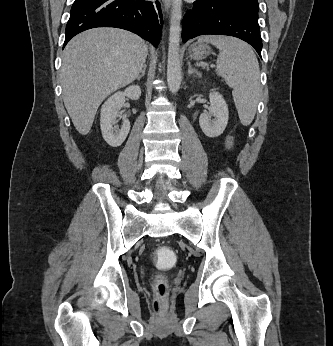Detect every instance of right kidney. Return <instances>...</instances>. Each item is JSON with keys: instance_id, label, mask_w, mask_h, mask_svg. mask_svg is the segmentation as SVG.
Returning <instances> with one entry per match:
<instances>
[{"instance_id": "ca27d5eb", "label": "right kidney", "mask_w": 333, "mask_h": 346, "mask_svg": "<svg viewBox=\"0 0 333 346\" xmlns=\"http://www.w3.org/2000/svg\"><path fill=\"white\" fill-rule=\"evenodd\" d=\"M141 96V89L138 85L127 87L124 91H119L110 96L102 105L100 114V127L104 140L112 147L120 146L126 139L129 130L130 122L128 119L123 120L121 129L115 126L116 118L119 115L120 109L125 103V97L132 100H138Z\"/></svg>"}]
</instances>
